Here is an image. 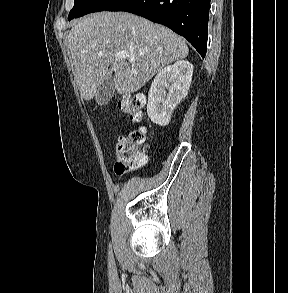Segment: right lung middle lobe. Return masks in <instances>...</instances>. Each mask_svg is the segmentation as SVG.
<instances>
[{"instance_id":"dd1d6c3e","label":"right lung middle lobe","mask_w":288,"mask_h":293,"mask_svg":"<svg viewBox=\"0 0 288 293\" xmlns=\"http://www.w3.org/2000/svg\"><path fill=\"white\" fill-rule=\"evenodd\" d=\"M118 0H75L74 7L70 11L68 20L81 17L91 12L103 11Z\"/></svg>"}]
</instances>
